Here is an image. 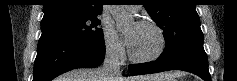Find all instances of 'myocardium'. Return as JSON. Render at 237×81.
Segmentation results:
<instances>
[{
	"label": "myocardium",
	"instance_id": "1",
	"mask_svg": "<svg viewBox=\"0 0 237 81\" xmlns=\"http://www.w3.org/2000/svg\"><path fill=\"white\" fill-rule=\"evenodd\" d=\"M138 25L140 26H146V27H151L157 34L158 38H159V46L156 49V51H154L152 54L147 55V56H136L130 47H128V55L129 58L133 61V62H137V63H147V62H151L156 60L157 58H159L165 51L166 49V45H167V40H166V36L163 32V30L153 21H149V20H139L137 22Z\"/></svg>",
	"mask_w": 237,
	"mask_h": 81
}]
</instances>
